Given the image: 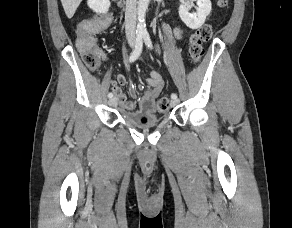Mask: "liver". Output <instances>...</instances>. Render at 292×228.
I'll use <instances>...</instances> for the list:
<instances>
[{
	"instance_id": "obj_1",
	"label": "liver",
	"mask_w": 292,
	"mask_h": 228,
	"mask_svg": "<svg viewBox=\"0 0 292 228\" xmlns=\"http://www.w3.org/2000/svg\"><path fill=\"white\" fill-rule=\"evenodd\" d=\"M82 0H61L66 16L71 19Z\"/></svg>"
}]
</instances>
